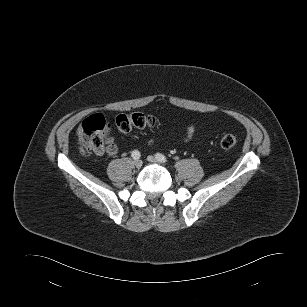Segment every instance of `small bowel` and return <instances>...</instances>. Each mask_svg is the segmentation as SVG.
Returning <instances> with one entry per match:
<instances>
[{
  "instance_id": "1",
  "label": "small bowel",
  "mask_w": 307,
  "mask_h": 307,
  "mask_svg": "<svg viewBox=\"0 0 307 307\" xmlns=\"http://www.w3.org/2000/svg\"><path fill=\"white\" fill-rule=\"evenodd\" d=\"M194 131H195V127L194 125H190L187 130H186V134H185V137H184V141H189L191 140V138L193 137V134H194ZM117 151V147L115 144L113 143H109L107 145V149H106V152L109 153V154H114L115 152ZM103 153V152H101Z\"/></svg>"
}]
</instances>
